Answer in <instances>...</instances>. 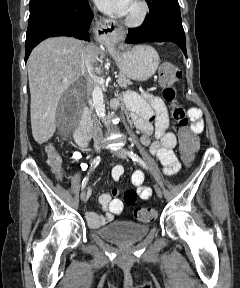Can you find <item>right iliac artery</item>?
<instances>
[{
	"label": "right iliac artery",
	"instance_id": "obj_1",
	"mask_svg": "<svg viewBox=\"0 0 240 288\" xmlns=\"http://www.w3.org/2000/svg\"><path fill=\"white\" fill-rule=\"evenodd\" d=\"M101 161V157L100 156H97L96 158H94V160L91 162V169L92 168H95L99 162ZM87 169V164H82V170H86ZM89 180V173H88V176H86L83 181H82V184H81V189H84L87 182Z\"/></svg>",
	"mask_w": 240,
	"mask_h": 288
}]
</instances>
